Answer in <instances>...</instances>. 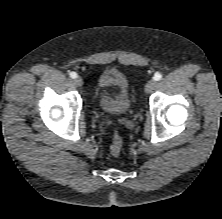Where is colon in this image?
<instances>
[{
    "label": "colon",
    "instance_id": "colon-1",
    "mask_svg": "<svg viewBox=\"0 0 222 219\" xmlns=\"http://www.w3.org/2000/svg\"><path fill=\"white\" fill-rule=\"evenodd\" d=\"M122 146H123L122 139L118 134H114L110 147L112 155L118 156L122 150Z\"/></svg>",
    "mask_w": 222,
    "mask_h": 219
}]
</instances>
